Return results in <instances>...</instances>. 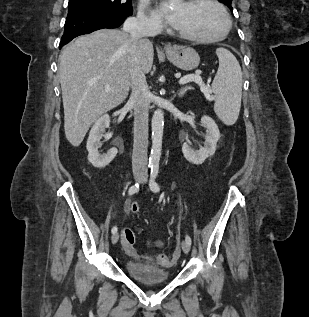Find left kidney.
Wrapping results in <instances>:
<instances>
[{
	"label": "left kidney",
	"instance_id": "obj_1",
	"mask_svg": "<svg viewBox=\"0 0 309 317\" xmlns=\"http://www.w3.org/2000/svg\"><path fill=\"white\" fill-rule=\"evenodd\" d=\"M201 125L206 128L204 146L198 150H194L186 142L182 145L184 157L195 165L202 164L209 156L215 153L217 142L220 139L218 126L211 117L203 116L201 118Z\"/></svg>",
	"mask_w": 309,
	"mask_h": 317
}]
</instances>
